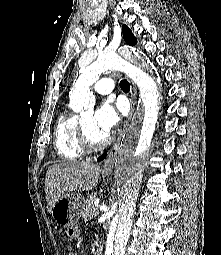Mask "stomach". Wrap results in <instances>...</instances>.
Segmentation results:
<instances>
[{
    "label": "stomach",
    "mask_w": 221,
    "mask_h": 255,
    "mask_svg": "<svg viewBox=\"0 0 221 255\" xmlns=\"http://www.w3.org/2000/svg\"><path fill=\"white\" fill-rule=\"evenodd\" d=\"M84 209V198L80 194H66L52 207L51 214L55 222L62 227L78 223Z\"/></svg>",
    "instance_id": "1"
}]
</instances>
